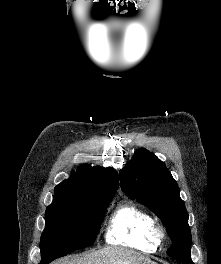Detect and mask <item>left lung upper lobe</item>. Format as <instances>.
Returning a JSON list of instances; mask_svg holds the SVG:
<instances>
[{"mask_svg":"<svg viewBox=\"0 0 221 264\" xmlns=\"http://www.w3.org/2000/svg\"><path fill=\"white\" fill-rule=\"evenodd\" d=\"M122 190L151 209L165 224L173 245L167 254L179 261L191 259V231L184 201L162 161L144 148L120 170Z\"/></svg>","mask_w":221,"mask_h":264,"instance_id":"5c2ea615","label":"left lung upper lobe"}]
</instances>
